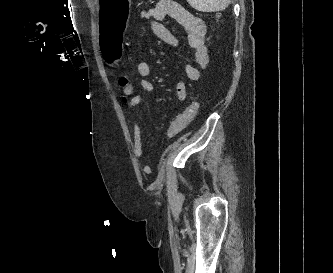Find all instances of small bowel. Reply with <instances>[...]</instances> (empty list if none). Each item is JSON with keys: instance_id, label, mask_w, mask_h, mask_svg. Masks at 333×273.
<instances>
[{"instance_id": "1", "label": "small bowel", "mask_w": 333, "mask_h": 273, "mask_svg": "<svg viewBox=\"0 0 333 273\" xmlns=\"http://www.w3.org/2000/svg\"><path fill=\"white\" fill-rule=\"evenodd\" d=\"M142 17L150 20L149 31L164 43L177 47L181 40L169 31L164 22L167 18H172L182 25L186 32L188 46L194 51V58L197 66L189 63L183 65L185 75L191 81H198L201 71L208 64V54L205 46L206 26L203 20L193 14L179 3L172 0H161L154 7L142 12ZM137 74L140 77V88L147 93L154 91V84L149 79L151 67L146 62H139L136 67ZM175 96L180 102L187 98V90L184 82L180 81L175 85ZM142 98L139 95H133L126 101L127 108L133 115V144L134 154L137 158L143 155L142 132L140 123L136 117V107L141 103ZM177 117V116H176ZM145 173L150 171L148 165L143 167Z\"/></svg>"}]
</instances>
